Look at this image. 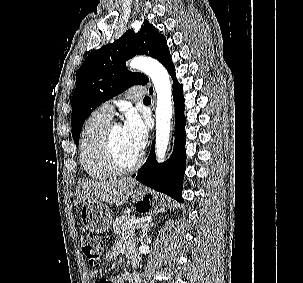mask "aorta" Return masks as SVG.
<instances>
[{
	"instance_id": "1",
	"label": "aorta",
	"mask_w": 303,
	"mask_h": 283,
	"mask_svg": "<svg viewBox=\"0 0 303 283\" xmlns=\"http://www.w3.org/2000/svg\"><path fill=\"white\" fill-rule=\"evenodd\" d=\"M129 66L142 71L153 82L157 94L155 153L157 161L162 162L168 150L171 130L172 89L169 74L161 63L150 57H135Z\"/></svg>"
}]
</instances>
